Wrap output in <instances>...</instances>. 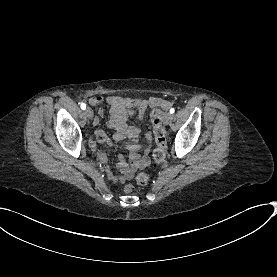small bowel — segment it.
Segmentation results:
<instances>
[{"label": "small bowel", "instance_id": "small-bowel-1", "mask_svg": "<svg viewBox=\"0 0 277 277\" xmlns=\"http://www.w3.org/2000/svg\"><path fill=\"white\" fill-rule=\"evenodd\" d=\"M133 101L134 100L121 96L106 97L105 95H102L99 98L91 97L89 99V102L94 105L110 104L111 108L108 126L116 130L114 134L115 140L123 141L126 138L131 139L130 146L128 144H110L111 152L129 150L130 155V164L125 163L123 156L119 157L118 168L120 169L121 174L118 176H114L111 174L109 166L103 167V172L108 173L110 180L115 184H122L125 181L130 180L137 170H142L148 167L150 163L147 154L152 144V133L147 132L145 134V155L143 157L137 156V139L140 130L136 126H128V118L134 113H137L138 118L142 119L147 108L153 106L160 107L163 113V111L167 110L171 105L170 101L161 97H151L149 99L138 98L135 100V105H133ZM133 106H135V109ZM94 122L98 123V119H95ZM97 139L104 144H108L110 142L108 136L103 131L97 132ZM90 144L92 147H96L95 140H91ZM98 157L100 158L101 163L107 162V157L104 156L101 152H98Z\"/></svg>", "mask_w": 277, "mask_h": 277}]
</instances>
